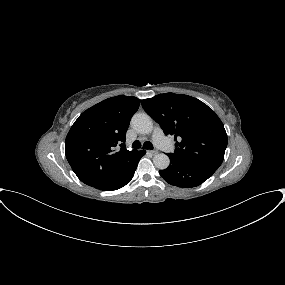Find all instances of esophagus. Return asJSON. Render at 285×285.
Wrapping results in <instances>:
<instances>
[{"label": "esophagus", "instance_id": "1", "mask_svg": "<svg viewBox=\"0 0 285 285\" xmlns=\"http://www.w3.org/2000/svg\"><path fill=\"white\" fill-rule=\"evenodd\" d=\"M148 153L151 155H156L158 152L155 150H149Z\"/></svg>", "mask_w": 285, "mask_h": 285}]
</instances>
